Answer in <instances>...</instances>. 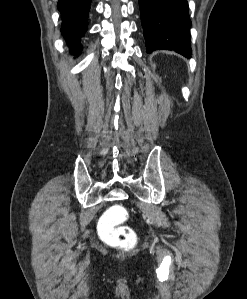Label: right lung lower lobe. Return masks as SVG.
<instances>
[{"instance_id": "1", "label": "right lung lower lobe", "mask_w": 247, "mask_h": 299, "mask_svg": "<svg viewBox=\"0 0 247 299\" xmlns=\"http://www.w3.org/2000/svg\"><path fill=\"white\" fill-rule=\"evenodd\" d=\"M91 0H58L61 13V32L70 48L78 56L82 49L81 37L85 35Z\"/></svg>"}]
</instances>
